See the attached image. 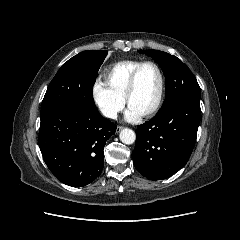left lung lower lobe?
<instances>
[{
	"label": "left lung lower lobe",
	"instance_id": "1",
	"mask_svg": "<svg viewBox=\"0 0 240 240\" xmlns=\"http://www.w3.org/2000/svg\"><path fill=\"white\" fill-rule=\"evenodd\" d=\"M198 96L176 98L136 130L135 168L149 180L169 178L185 166L193 151L201 109Z\"/></svg>",
	"mask_w": 240,
	"mask_h": 240
}]
</instances>
